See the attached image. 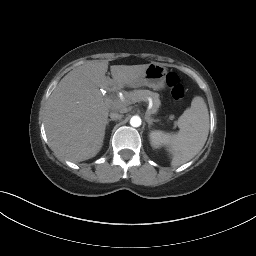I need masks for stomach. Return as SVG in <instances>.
I'll return each instance as SVG.
<instances>
[{"mask_svg": "<svg viewBox=\"0 0 256 256\" xmlns=\"http://www.w3.org/2000/svg\"><path fill=\"white\" fill-rule=\"evenodd\" d=\"M167 70L163 64L152 62L145 73L137 80L130 83L132 87L147 86L153 90L165 88Z\"/></svg>", "mask_w": 256, "mask_h": 256, "instance_id": "1", "label": "stomach"}]
</instances>
